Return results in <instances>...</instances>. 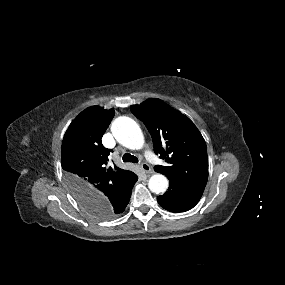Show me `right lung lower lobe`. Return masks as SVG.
I'll list each match as a JSON object with an SVG mask.
<instances>
[{
  "label": "right lung lower lobe",
  "instance_id": "98d812e1",
  "mask_svg": "<svg viewBox=\"0 0 285 285\" xmlns=\"http://www.w3.org/2000/svg\"><path fill=\"white\" fill-rule=\"evenodd\" d=\"M138 180L137 175L120 191L109 196L108 198H98L90 203V206L97 208H106L112 212L113 215L121 214L127 204L129 203L132 188Z\"/></svg>",
  "mask_w": 285,
  "mask_h": 285
}]
</instances>
